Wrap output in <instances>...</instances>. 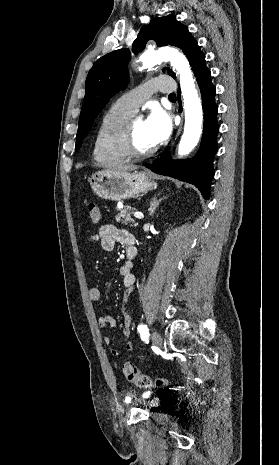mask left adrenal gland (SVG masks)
Here are the masks:
<instances>
[{"mask_svg": "<svg viewBox=\"0 0 279 465\" xmlns=\"http://www.w3.org/2000/svg\"><path fill=\"white\" fill-rule=\"evenodd\" d=\"M159 195V194H158ZM167 196H164L162 198H160L159 200H157V197H154L150 203V208H149V215L152 216L154 211L156 210V208L159 206L160 202L163 200V199H166Z\"/></svg>", "mask_w": 279, "mask_h": 465, "instance_id": "left-adrenal-gland-1", "label": "left adrenal gland"}]
</instances>
